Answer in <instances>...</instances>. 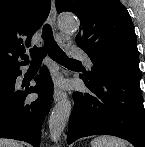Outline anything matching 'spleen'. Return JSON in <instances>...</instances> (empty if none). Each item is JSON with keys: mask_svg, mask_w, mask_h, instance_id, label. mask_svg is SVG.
<instances>
[{"mask_svg": "<svg viewBox=\"0 0 145 147\" xmlns=\"http://www.w3.org/2000/svg\"><path fill=\"white\" fill-rule=\"evenodd\" d=\"M92 147H126L124 141L113 136H99L92 140Z\"/></svg>", "mask_w": 145, "mask_h": 147, "instance_id": "3e777b00", "label": "spleen"}]
</instances>
